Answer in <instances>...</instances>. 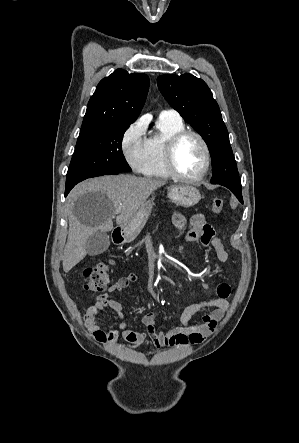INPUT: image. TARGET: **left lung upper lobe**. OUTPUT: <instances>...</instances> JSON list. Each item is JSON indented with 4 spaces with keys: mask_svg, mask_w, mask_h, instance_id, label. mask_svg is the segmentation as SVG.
<instances>
[{
    "mask_svg": "<svg viewBox=\"0 0 299 443\" xmlns=\"http://www.w3.org/2000/svg\"><path fill=\"white\" fill-rule=\"evenodd\" d=\"M157 83L170 106L177 110L207 143L213 168L211 183L241 187L227 128L206 83L191 74L161 75L157 78Z\"/></svg>",
    "mask_w": 299,
    "mask_h": 443,
    "instance_id": "left-lung-upper-lobe-1",
    "label": "left lung upper lobe"
}]
</instances>
